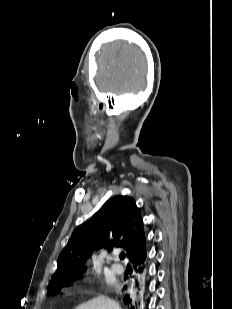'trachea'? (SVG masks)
<instances>
[{
	"instance_id": "obj_1",
	"label": "trachea",
	"mask_w": 232,
	"mask_h": 309,
	"mask_svg": "<svg viewBox=\"0 0 232 309\" xmlns=\"http://www.w3.org/2000/svg\"><path fill=\"white\" fill-rule=\"evenodd\" d=\"M120 258H125V254L122 252V253H120Z\"/></svg>"
}]
</instances>
